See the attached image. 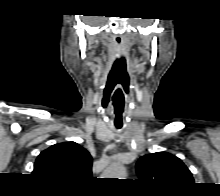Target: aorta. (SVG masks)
Instances as JSON below:
<instances>
[{"instance_id": "1", "label": "aorta", "mask_w": 220, "mask_h": 196, "mask_svg": "<svg viewBox=\"0 0 220 196\" xmlns=\"http://www.w3.org/2000/svg\"><path fill=\"white\" fill-rule=\"evenodd\" d=\"M104 178H118L124 179L126 176V169L123 165L114 163L103 174Z\"/></svg>"}]
</instances>
